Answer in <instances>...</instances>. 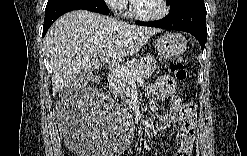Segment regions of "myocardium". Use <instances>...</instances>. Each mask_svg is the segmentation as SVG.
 <instances>
[{
	"label": "myocardium",
	"instance_id": "f54148a6",
	"mask_svg": "<svg viewBox=\"0 0 247 156\" xmlns=\"http://www.w3.org/2000/svg\"><path fill=\"white\" fill-rule=\"evenodd\" d=\"M160 2V6L161 9L158 13L155 14H151V15H142L139 14L134 6V1H131L129 3V14L136 20L139 21H144V22H150V21H156V20H160L162 18H164L168 12H169V8H168V4L166 2V0H158Z\"/></svg>",
	"mask_w": 247,
	"mask_h": 156
}]
</instances>
